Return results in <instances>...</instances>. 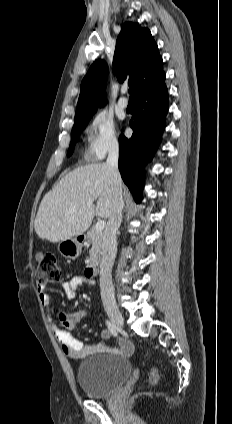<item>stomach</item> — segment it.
Returning <instances> with one entry per match:
<instances>
[{
  "mask_svg": "<svg viewBox=\"0 0 232 424\" xmlns=\"http://www.w3.org/2000/svg\"><path fill=\"white\" fill-rule=\"evenodd\" d=\"M83 238L74 237L60 241L58 244V250L65 258L76 259L82 251Z\"/></svg>",
  "mask_w": 232,
  "mask_h": 424,
  "instance_id": "1",
  "label": "stomach"
}]
</instances>
